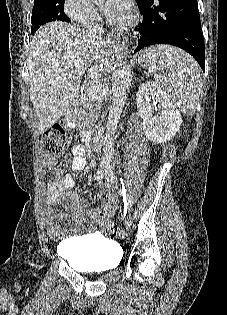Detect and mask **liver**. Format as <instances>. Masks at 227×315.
<instances>
[{
    "label": "liver",
    "mask_w": 227,
    "mask_h": 315,
    "mask_svg": "<svg viewBox=\"0 0 227 315\" xmlns=\"http://www.w3.org/2000/svg\"><path fill=\"white\" fill-rule=\"evenodd\" d=\"M112 53L101 37L68 23L51 22L36 31L28 49V69L40 133L74 106L85 71L95 80L110 69ZM75 61L83 64L77 67Z\"/></svg>",
    "instance_id": "obj_1"
}]
</instances>
